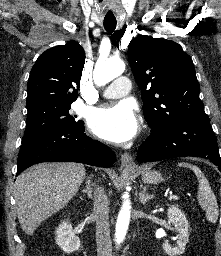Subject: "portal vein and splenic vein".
I'll return each mask as SVG.
<instances>
[{
    "label": "portal vein and splenic vein",
    "mask_w": 221,
    "mask_h": 256,
    "mask_svg": "<svg viewBox=\"0 0 221 256\" xmlns=\"http://www.w3.org/2000/svg\"><path fill=\"white\" fill-rule=\"evenodd\" d=\"M169 199H170V200H178L179 197H178L177 195H170V196H169Z\"/></svg>",
    "instance_id": "1"
}]
</instances>
